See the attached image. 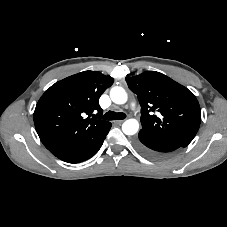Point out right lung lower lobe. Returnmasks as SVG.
Here are the masks:
<instances>
[{"mask_svg": "<svg viewBox=\"0 0 227 227\" xmlns=\"http://www.w3.org/2000/svg\"><path fill=\"white\" fill-rule=\"evenodd\" d=\"M110 128L111 124L99 137L93 139L84 147L64 153L58 156V158L68 163H78L91 158L102 146L103 141L106 138V135L108 134Z\"/></svg>", "mask_w": 227, "mask_h": 227, "instance_id": "1", "label": "right lung lower lobe"}]
</instances>
